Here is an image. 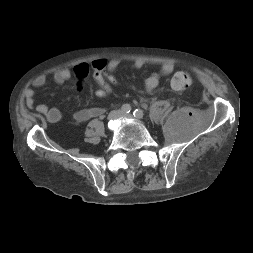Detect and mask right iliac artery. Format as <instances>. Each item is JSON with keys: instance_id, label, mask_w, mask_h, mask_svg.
<instances>
[{"instance_id": "1", "label": "right iliac artery", "mask_w": 253, "mask_h": 253, "mask_svg": "<svg viewBox=\"0 0 253 253\" xmlns=\"http://www.w3.org/2000/svg\"><path fill=\"white\" fill-rule=\"evenodd\" d=\"M121 111H122L123 113H125V114L130 113V111H131V106H130L129 104H124V105H122V107H121Z\"/></svg>"}]
</instances>
